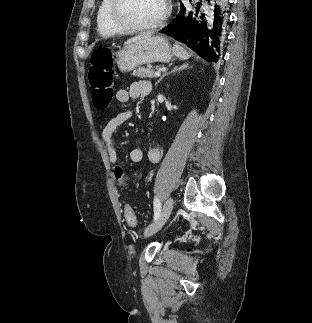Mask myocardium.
I'll use <instances>...</instances> for the list:
<instances>
[{
  "label": "myocardium",
  "instance_id": "obj_1",
  "mask_svg": "<svg viewBox=\"0 0 312 323\" xmlns=\"http://www.w3.org/2000/svg\"><path fill=\"white\" fill-rule=\"evenodd\" d=\"M107 3L109 4V10H107L106 15L110 21H115L117 25H120V31H150V27L164 25L173 11L172 0H161L163 7L155 20H124L122 14H119L121 11L120 0H107Z\"/></svg>",
  "mask_w": 312,
  "mask_h": 323
}]
</instances>
